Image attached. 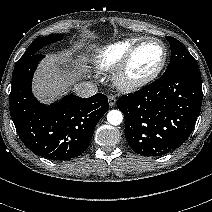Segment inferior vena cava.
<instances>
[{
  "label": "inferior vena cava",
  "mask_w": 212,
  "mask_h": 212,
  "mask_svg": "<svg viewBox=\"0 0 212 212\" xmlns=\"http://www.w3.org/2000/svg\"><path fill=\"white\" fill-rule=\"evenodd\" d=\"M75 92L82 98H88L98 92L97 85L92 82H83L75 88Z\"/></svg>",
  "instance_id": "602c4592"
}]
</instances>
